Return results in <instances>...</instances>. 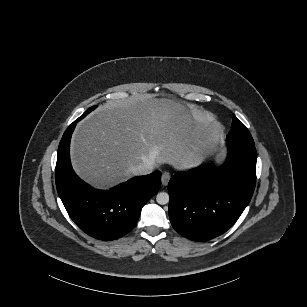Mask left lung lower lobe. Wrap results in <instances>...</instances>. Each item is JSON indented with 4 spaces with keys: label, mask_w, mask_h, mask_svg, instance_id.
<instances>
[{
    "label": "left lung lower lobe",
    "mask_w": 307,
    "mask_h": 307,
    "mask_svg": "<svg viewBox=\"0 0 307 307\" xmlns=\"http://www.w3.org/2000/svg\"><path fill=\"white\" fill-rule=\"evenodd\" d=\"M228 157L217 169L177 172L169 181L173 228L194 241L213 239L234 225L251 200L256 183L254 142L228 140Z\"/></svg>",
    "instance_id": "left-lung-lower-lobe-1"
}]
</instances>
